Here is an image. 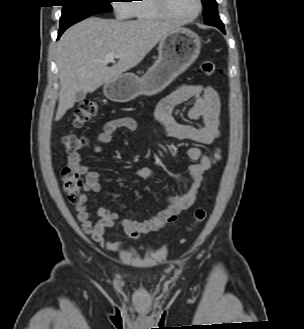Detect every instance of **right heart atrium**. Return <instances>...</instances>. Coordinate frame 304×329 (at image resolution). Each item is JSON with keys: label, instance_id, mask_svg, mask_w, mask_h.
<instances>
[{"label": "right heart atrium", "instance_id": "1", "mask_svg": "<svg viewBox=\"0 0 304 329\" xmlns=\"http://www.w3.org/2000/svg\"><path fill=\"white\" fill-rule=\"evenodd\" d=\"M113 2V9L118 18L125 19L130 16V4L127 0H115Z\"/></svg>", "mask_w": 304, "mask_h": 329}]
</instances>
